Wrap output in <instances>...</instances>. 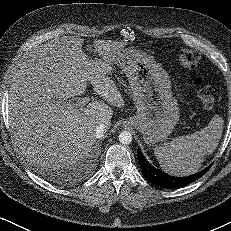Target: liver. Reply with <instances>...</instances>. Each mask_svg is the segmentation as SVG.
<instances>
[{"label":"liver","instance_id":"1","mask_svg":"<svg viewBox=\"0 0 231 231\" xmlns=\"http://www.w3.org/2000/svg\"><path fill=\"white\" fill-rule=\"evenodd\" d=\"M84 39L64 36L38 46L14 71L9 88V123L15 143L30 165L47 169L68 167L87 155L96 141L95 130L110 122L114 107L124 98L109 77L116 52L125 45L94 40L99 58L84 53ZM88 83L104 101L70 107L71 97ZM61 102V103H59Z\"/></svg>","mask_w":231,"mask_h":231}]
</instances>
